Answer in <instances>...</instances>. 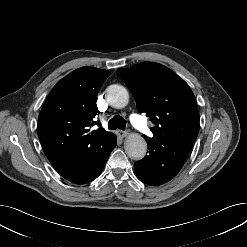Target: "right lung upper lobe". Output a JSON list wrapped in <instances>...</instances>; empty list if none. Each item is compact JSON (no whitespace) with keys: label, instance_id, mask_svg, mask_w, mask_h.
<instances>
[{"label":"right lung upper lobe","instance_id":"cb5924a9","mask_svg":"<svg viewBox=\"0 0 247 247\" xmlns=\"http://www.w3.org/2000/svg\"><path fill=\"white\" fill-rule=\"evenodd\" d=\"M109 74L81 67L61 79L47 97L39 114L38 137L57 171L102 151L115 138L94 119L97 94ZM94 125L99 128L92 130Z\"/></svg>","mask_w":247,"mask_h":247}]
</instances>
